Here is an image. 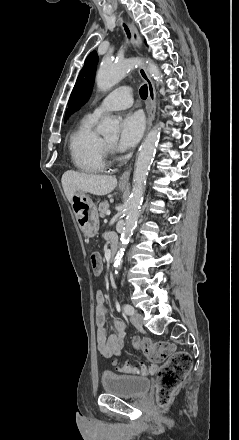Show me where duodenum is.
<instances>
[{"label": "duodenum", "mask_w": 239, "mask_h": 440, "mask_svg": "<svg viewBox=\"0 0 239 440\" xmlns=\"http://www.w3.org/2000/svg\"><path fill=\"white\" fill-rule=\"evenodd\" d=\"M117 252V244L116 242H112L110 251H109V259H113Z\"/></svg>", "instance_id": "1"}]
</instances>
